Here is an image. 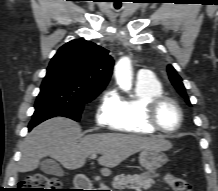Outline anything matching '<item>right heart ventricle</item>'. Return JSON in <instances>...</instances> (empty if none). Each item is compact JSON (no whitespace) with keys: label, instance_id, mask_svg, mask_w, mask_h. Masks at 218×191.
Wrapping results in <instances>:
<instances>
[{"label":"right heart ventricle","instance_id":"1","mask_svg":"<svg viewBox=\"0 0 218 191\" xmlns=\"http://www.w3.org/2000/svg\"><path fill=\"white\" fill-rule=\"evenodd\" d=\"M163 94V87L157 79L137 80L135 95L131 98L120 99L119 108L110 125L111 128L127 134H154L156 131L145 121V106L151 98Z\"/></svg>","mask_w":218,"mask_h":191}]
</instances>
